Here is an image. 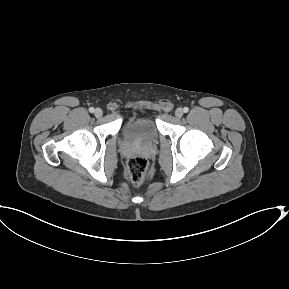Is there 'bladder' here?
Masks as SVG:
<instances>
[{
  "mask_svg": "<svg viewBox=\"0 0 289 289\" xmlns=\"http://www.w3.org/2000/svg\"><path fill=\"white\" fill-rule=\"evenodd\" d=\"M124 136L134 141H153L159 132L157 123L150 116L130 118L124 123Z\"/></svg>",
  "mask_w": 289,
  "mask_h": 289,
  "instance_id": "31cf9c89",
  "label": "bladder"
}]
</instances>
